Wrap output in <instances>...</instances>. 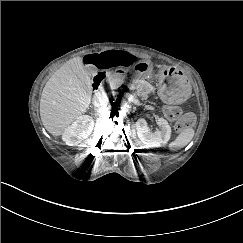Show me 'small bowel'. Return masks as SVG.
Masks as SVG:
<instances>
[{
  "instance_id": "small-bowel-1",
  "label": "small bowel",
  "mask_w": 243,
  "mask_h": 243,
  "mask_svg": "<svg viewBox=\"0 0 243 243\" xmlns=\"http://www.w3.org/2000/svg\"><path fill=\"white\" fill-rule=\"evenodd\" d=\"M84 62L92 67L98 68H127L137 61V56L123 50H106L98 53L88 54Z\"/></svg>"
}]
</instances>
